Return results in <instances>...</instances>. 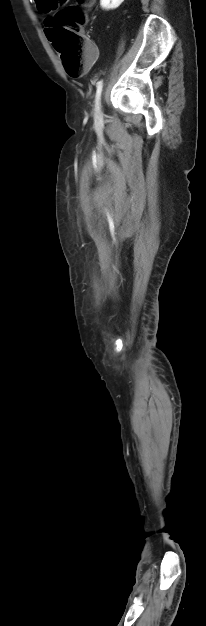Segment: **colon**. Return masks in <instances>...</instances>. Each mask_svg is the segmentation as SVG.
I'll list each match as a JSON object with an SVG mask.
<instances>
[{
	"label": "colon",
	"mask_w": 206,
	"mask_h": 626,
	"mask_svg": "<svg viewBox=\"0 0 206 626\" xmlns=\"http://www.w3.org/2000/svg\"><path fill=\"white\" fill-rule=\"evenodd\" d=\"M68 0H42L41 10H59L48 21L51 26L50 39L59 52L67 73L79 76L88 61L85 52V39L81 29L86 22L85 9L92 6L94 0H76L74 5L66 6Z\"/></svg>",
	"instance_id": "5ec220e1"
}]
</instances>
